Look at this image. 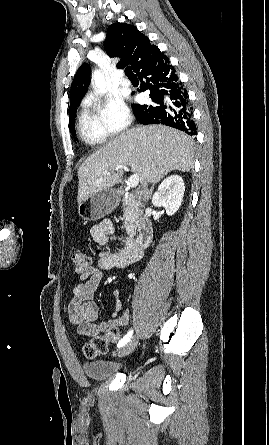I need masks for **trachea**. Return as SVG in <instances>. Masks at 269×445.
Instances as JSON below:
<instances>
[{
	"instance_id": "obj_1",
	"label": "trachea",
	"mask_w": 269,
	"mask_h": 445,
	"mask_svg": "<svg viewBox=\"0 0 269 445\" xmlns=\"http://www.w3.org/2000/svg\"><path fill=\"white\" fill-rule=\"evenodd\" d=\"M125 74H126V76L129 77V78L135 76L134 73H133V71H132V69H131L130 67H127V68L125 69Z\"/></svg>"
}]
</instances>
